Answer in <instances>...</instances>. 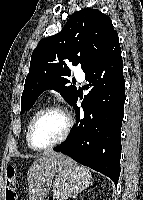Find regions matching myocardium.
Instances as JSON below:
<instances>
[{
  "mask_svg": "<svg viewBox=\"0 0 143 200\" xmlns=\"http://www.w3.org/2000/svg\"><path fill=\"white\" fill-rule=\"evenodd\" d=\"M55 111L61 112L66 118L67 123H66V128H65L64 133L58 140H56L55 142H53L49 145H46V146L35 145L33 142V138H32L33 129H34L35 125L46 114H48L50 112H55ZM72 128H73V118H72V115L69 113V111L65 107H63L59 104L49 105V106L43 108L30 122L28 130H27V143H28L29 147L32 148L33 150H37V151L49 150L55 146L60 145L64 141H66V139L69 137V135L71 133Z\"/></svg>",
  "mask_w": 143,
  "mask_h": 200,
  "instance_id": "f54148a6",
  "label": "myocardium"
}]
</instances>
